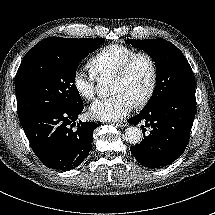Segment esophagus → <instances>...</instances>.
<instances>
[{"label":"esophagus","mask_w":215,"mask_h":215,"mask_svg":"<svg viewBox=\"0 0 215 215\" xmlns=\"http://www.w3.org/2000/svg\"><path fill=\"white\" fill-rule=\"evenodd\" d=\"M118 127H126L128 125L127 121H121L116 124Z\"/></svg>","instance_id":"1"}]
</instances>
